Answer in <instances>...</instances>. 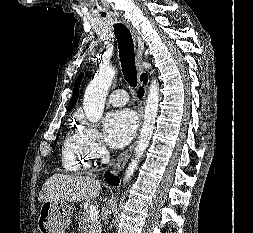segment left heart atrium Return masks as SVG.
Here are the masks:
<instances>
[{"label":"left heart atrium","mask_w":253,"mask_h":233,"mask_svg":"<svg viewBox=\"0 0 253 233\" xmlns=\"http://www.w3.org/2000/svg\"><path fill=\"white\" fill-rule=\"evenodd\" d=\"M137 126L136 117L130 110L109 113L105 119V135L115 148L125 146L133 137Z\"/></svg>","instance_id":"obj_1"}]
</instances>
